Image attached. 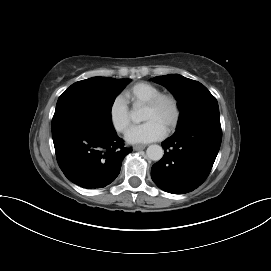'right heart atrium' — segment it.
Returning a JSON list of instances; mask_svg holds the SVG:
<instances>
[{"mask_svg": "<svg viewBox=\"0 0 271 271\" xmlns=\"http://www.w3.org/2000/svg\"><path fill=\"white\" fill-rule=\"evenodd\" d=\"M109 120L115 131L124 133L131 123L130 112L125 99L116 96L109 106Z\"/></svg>", "mask_w": 271, "mask_h": 271, "instance_id": "d8ad5b80", "label": "right heart atrium"}]
</instances>
